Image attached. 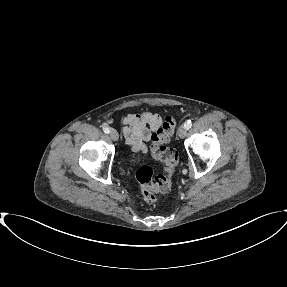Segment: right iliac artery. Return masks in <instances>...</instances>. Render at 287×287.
Here are the masks:
<instances>
[{
	"instance_id": "right-iliac-artery-1",
	"label": "right iliac artery",
	"mask_w": 287,
	"mask_h": 287,
	"mask_svg": "<svg viewBox=\"0 0 287 287\" xmlns=\"http://www.w3.org/2000/svg\"><path fill=\"white\" fill-rule=\"evenodd\" d=\"M103 131H104L106 134L110 133V129H109V127H107V126H104V127H103Z\"/></svg>"
}]
</instances>
